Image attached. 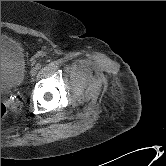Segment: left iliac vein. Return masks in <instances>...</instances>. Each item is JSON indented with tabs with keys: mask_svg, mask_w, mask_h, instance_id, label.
Instances as JSON below:
<instances>
[{
	"mask_svg": "<svg viewBox=\"0 0 166 166\" xmlns=\"http://www.w3.org/2000/svg\"><path fill=\"white\" fill-rule=\"evenodd\" d=\"M30 74H31L32 76H35V75L37 74V68H36V67H33V68L31 69V71H30Z\"/></svg>",
	"mask_w": 166,
	"mask_h": 166,
	"instance_id": "obj_1",
	"label": "left iliac vein"
}]
</instances>
